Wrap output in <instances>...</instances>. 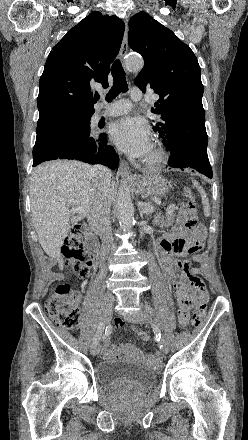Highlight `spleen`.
<instances>
[{"label":"spleen","mask_w":248,"mask_h":440,"mask_svg":"<svg viewBox=\"0 0 248 440\" xmlns=\"http://www.w3.org/2000/svg\"><path fill=\"white\" fill-rule=\"evenodd\" d=\"M193 184L195 185V187L197 188V190L199 191V193L201 195L204 215L206 217H209L210 216V205H209V200H208L207 194H206L205 190L203 189V187L201 185H199L198 182L193 181Z\"/></svg>","instance_id":"1"}]
</instances>
